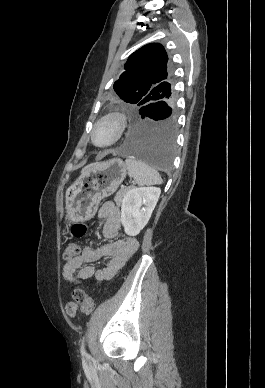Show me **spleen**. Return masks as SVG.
Wrapping results in <instances>:
<instances>
[{"instance_id":"3e777b00","label":"spleen","mask_w":265,"mask_h":388,"mask_svg":"<svg viewBox=\"0 0 265 388\" xmlns=\"http://www.w3.org/2000/svg\"><path fill=\"white\" fill-rule=\"evenodd\" d=\"M125 164L128 170V176L134 178V182L139 186H154V184H162V178L158 172L148 166L146 162L142 160H136V158H127Z\"/></svg>"}]
</instances>
